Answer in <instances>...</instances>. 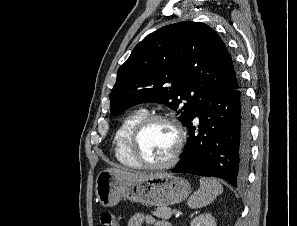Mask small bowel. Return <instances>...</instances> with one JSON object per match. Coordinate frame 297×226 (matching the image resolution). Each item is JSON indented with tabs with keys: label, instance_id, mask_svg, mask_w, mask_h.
Here are the masks:
<instances>
[{
	"label": "small bowel",
	"instance_id": "obj_1",
	"mask_svg": "<svg viewBox=\"0 0 297 226\" xmlns=\"http://www.w3.org/2000/svg\"><path fill=\"white\" fill-rule=\"evenodd\" d=\"M146 222L152 226H170L168 222L163 220H155L143 213H135L128 220L127 226H142Z\"/></svg>",
	"mask_w": 297,
	"mask_h": 226
}]
</instances>
